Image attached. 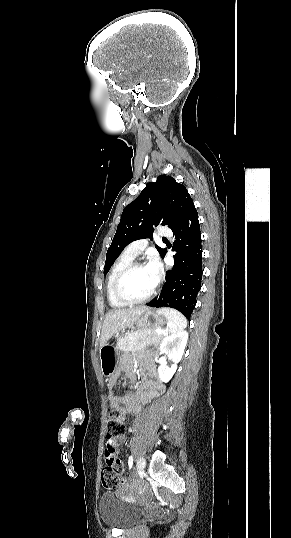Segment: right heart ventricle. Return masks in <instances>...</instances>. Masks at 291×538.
Here are the masks:
<instances>
[{
  "label": "right heart ventricle",
  "mask_w": 291,
  "mask_h": 538,
  "mask_svg": "<svg viewBox=\"0 0 291 538\" xmlns=\"http://www.w3.org/2000/svg\"><path fill=\"white\" fill-rule=\"evenodd\" d=\"M134 258L128 255L126 252H123L113 263L106 283V294L109 304L114 308L124 307L125 303L120 302L114 294V282L118 274L127 267Z\"/></svg>",
  "instance_id": "obj_1"
}]
</instances>
